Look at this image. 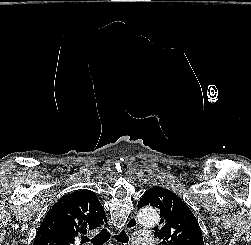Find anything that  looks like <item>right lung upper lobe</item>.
Returning <instances> with one entry per match:
<instances>
[{"label":"right lung upper lobe","instance_id":"1","mask_svg":"<svg viewBox=\"0 0 251 245\" xmlns=\"http://www.w3.org/2000/svg\"><path fill=\"white\" fill-rule=\"evenodd\" d=\"M106 215L91 190L72 192L47 212L33 245H74L89 230L105 224Z\"/></svg>","mask_w":251,"mask_h":245}]
</instances>
